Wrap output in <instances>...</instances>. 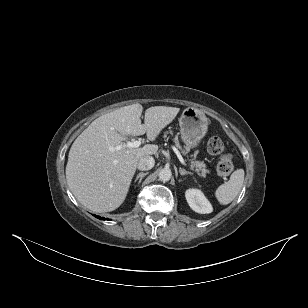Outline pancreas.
I'll list each match as a JSON object with an SVG mask.
<instances>
[{
    "label": "pancreas",
    "mask_w": 308,
    "mask_h": 308,
    "mask_svg": "<svg viewBox=\"0 0 308 308\" xmlns=\"http://www.w3.org/2000/svg\"><path fill=\"white\" fill-rule=\"evenodd\" d=\"M173 134L172 131H166L164 133V138H167V134ZM174 142L176 144V146L180 149H183L185 152H188L190 150L189 147L187 146H184L182 147L180 145V142H179V139H178V136H175L174 138ZM190 163H191V169H195V171L197 172L198 175L202 176V177H205L206 176V173H208L209 171L206 169V164L203 162V161H198L195 159V156L193 159L190 160Z\"/></svg>",
    "instance_id": "cf45deb5"
}]
</instances>
